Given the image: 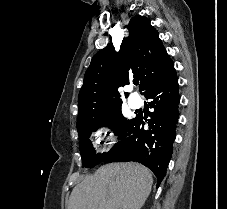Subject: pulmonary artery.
Segmentation results:
<instances>
[{
  "label": "pulmonary artery",
  "mask_w": 227,
  "mask_h": 209,
  "mask_svg": "<svg viewBox=\"0 0 227 209\" xmlns=\"http://www.w3.org/2000/svg\"><path fill=\"white\" fill-rule=\"evenodd\" d=\"M128 103L133 107V108H138L141 106L142 102L144 101V98L139 95L138 91H135L134 87H129L128 88Z\"/></svg>",
  "instance_id": "e3ab8cb5"
}]
</instances>
